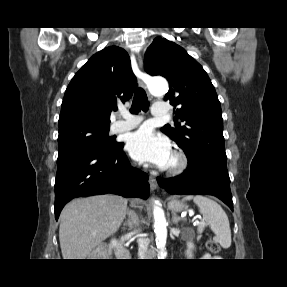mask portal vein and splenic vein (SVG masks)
Here are the masks:
<instances>
[{
  "mask_svg": "<svg viewBox=\"0 0 287 287\" xmlns=\"http://www.w3.org/2000/svg\"><path fill=\"white\" fill-rule=\"evenodd\" d=\"M195 224H204V222H199V221H196Z\"/></svg>",
  "mask_w": 287,
  "mask_h": 287,
  "instance_id": "portal-vein-and-splenic-vein-1",
  "label": "portal vein and splenic vein"
}]
</instances>
